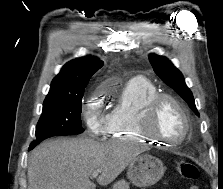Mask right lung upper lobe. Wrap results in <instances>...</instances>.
<instances>
[{
    "label": "right lung upper lobe",
    "mask_w": 223,
    "mask_h": 189,
    "mask_svg": "<svg viewBox=\"0 0 223 189\" xmlns=\"http://www.w3.org/2000/svg\"><path fill=\"white\" fill-rule=\"evenodd\" d=\"M102 66L103 62L93 56L69 61L53 79L48 95L73 94L84 89L92 75Z\"/></svg>",
    "instance_id": "1"
}]
</instances>
